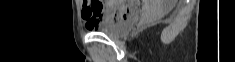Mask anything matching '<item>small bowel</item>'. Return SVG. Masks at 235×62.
Listing matches in <instances>:
<instances>
[{"label":"small bowel","instance_id":"small-bowel-1","mask_svg":"<svg viewBox=\"0 0 235 62\" xmlns=\"http://www.w3.org/2000/svg\"><path fill=\"white\" fill-rule=\"evenodd\" d=\"M126 5L129 8L137 6L135 2H128ZM113 7L114 2H106L99 8H95L94 5L84 2L82 5V18L85 22V26L88 30H94L102 22H113Z\"/></svg>","mask_w":235,"mask_h":62}]
</instances>
